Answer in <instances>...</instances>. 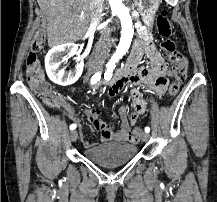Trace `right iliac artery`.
Segmentation results:
<instances>
[{"label":"right iliac artery","instance_id":"obj_1","mask_svg":"<svg viewBox=\"0 0 217 202\" xmlns=\"http://www.w3.org/2000/svg\"><path fill=\"white\" fill-rule=\"evenodd\" d=\"M100 78H101V73L98 72V73L94 74V75L92 76V78H91V84H92V85H93V84H96L97 81L100 80ZM76 127H77L76 124H71V125H70V130H74Z\"/></svg>","mask_w":217,"mask_h":202}]
</instances>
